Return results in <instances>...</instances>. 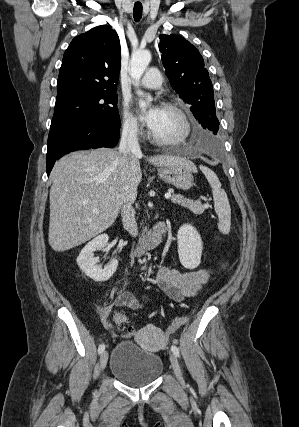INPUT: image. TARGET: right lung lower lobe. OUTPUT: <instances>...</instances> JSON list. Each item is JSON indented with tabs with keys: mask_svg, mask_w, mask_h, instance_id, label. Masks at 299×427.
<instances>
[{
	"mask_svg": "<svg viewBox=\"0 0 299 427\" xmlns=\"http://www.w3.org/2000/svg\"><path fill=\"white\" fill-rule=\"evenodd\" d=\"M120 137V127L106 123L76 120L50 129L47 146V175L63 155L90 148H113Z\"/></svg>",
	"mask_w": 299,
	"mask_h": 427,
	"instance_id": "right-lung-lower-lobe-1",
	"label": "right lung lower lobe"
}]
</instances>
